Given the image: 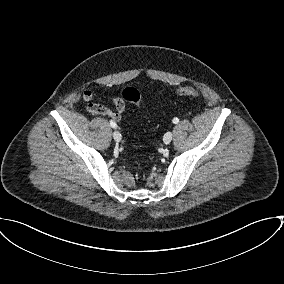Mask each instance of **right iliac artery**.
Returning a JSON list of instances; mask_svg holds the SVG:
<instances>
[{
  "label": "right iliac artery",
  "mask_w": 284,
  "mask_h": 284,
  "mask_svg": "<svg viewBox=\"0 0 284 284\" xmlns=\"http://www.w3.org/2000/svg\"><path fill=\"white\" fill-rule=\"evenodd\" d=\"M110 126L112 128H116L117 127V124L113 121V120H110Z\"/></svg>",
  "instance_id": "obj_1"
}]
</instances>
